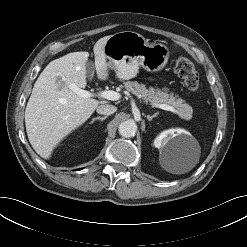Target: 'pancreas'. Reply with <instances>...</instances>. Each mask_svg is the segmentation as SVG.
I'll list each match as a JSON object with an SVG mask.
<instances>
[{"mask_svg":"<svg viewBox=\"0 0 247 247\" xmlns=\"http://www.w3.org/2000/svg\"><path fill=\"white\" fill-rule=\"evenodd\" d=\"M126 90L134 94L139 98H143L146 102H149L152 106L155 104H167L172 105L176 110L180 118L189 121L192 118V107L181 98H177L173 94H168L167 89L159 90L153 87L146 88L144 84H140L137 81H127L124 83Z\"/></svg>","mask_w":247,"mask_h":247,"instance_id":"cf45deb5","label":"pancreas"}]
</instances>
